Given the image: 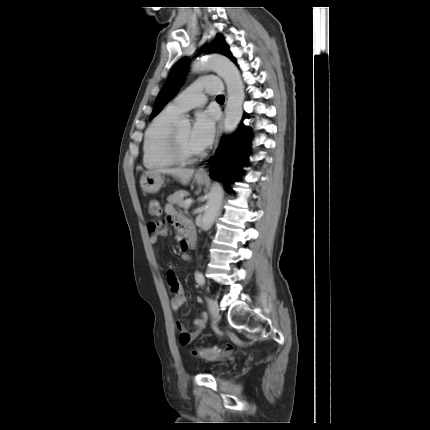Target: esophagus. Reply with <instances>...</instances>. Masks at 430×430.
Masks as SVG:
<instances>
[{
	"instance_id": "esophagus-1",
	"label": "esophagus",
	"mask_w": 430,
	"mask_h": 430,
	"mask_svg": "<svg viewBox=\"0 0 430 430\" xmlns=\"http://www.w3.org/2000/svg\"><path fill=\"white\" fill-rule=\"evenodd\" d=\"M222 132H223V121H221V122L219 123L218 128H217V139H216L215 148H214L213 153H215V151L217 150V148H218V146H219L220 138H221ZM207 170H208V167H201V168H199V169L197 170V172H196V173H197L198 175L206 176V175H207Z\"/></svg>"
}]
</instances>
